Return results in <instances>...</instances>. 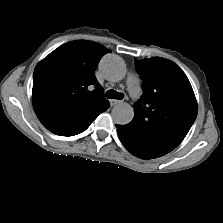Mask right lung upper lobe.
<instances>
[{
  "label": "right lung upper lobe",
  "mask_w": 223,
  "mask_h": 223,
  "mask_svg": "<svg viewBox=\"0 0 223 223\" xmlns=\"http://www.w3.org/2000/svg\"><path fill=\"white\" fill-rule=\"evenodd\" d=\"M110 52L98 43L77 40L61 45L35 68V113L52 133L73 136L86 130L109 108L95 70Z\"/></svg>",
  "instance_id": "right-lung-upper-lobe-1"
}]
</instances>
